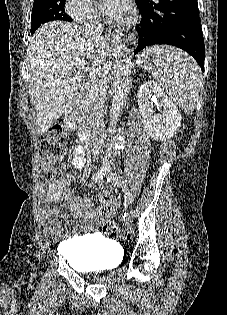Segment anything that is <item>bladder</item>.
I'll use <instances>...</instances> for the list:
<instances>
[{
  "mask_svg": "<svg viewBox=\"0 0 227 315\" xmlns=\"http://www.w3.org/2000/svg\"><path fill=\"white\" fill-rule=\"evenodd\" d=\"M73 248L74 254L63 250L69 264L78 270L102 271L118 266L121 261L119 246L105 237L83 235L66 240L64 248Z\"/></svg>",
  "mask_w": 227,
  "mask_h": 315,
  "instance_id": "31cf9c89",
  "label": "bladder"
}]
</instances>
